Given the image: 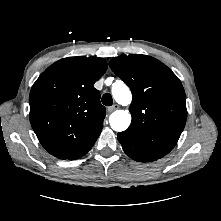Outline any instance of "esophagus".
Here are the masks:
<instances>
[{"instance_id": "34e87169", "label": "esophagus", "mask_w": 221, "mask_h": 221, "mask_svg": "<svg viewBox=\"0 0 221 221\" xmlns=\"http://www.w3.org/2000/svg\"><path fill=\"white\" fill-rule=\"evenodd\" d=\"M118 108H119V105L114 104V105L108 107L107 110H108L109 113H111V112H113L114 110H116Z\"/></svg>"}]
</instances>
